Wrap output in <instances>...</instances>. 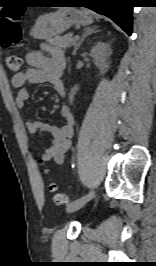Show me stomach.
Listing matches in <instances>:
<instances>
[{
    "label": "stomach",
    "mask_w": 156,
    "mask_h": 266,
    "mask_svg": "<svg viewBox=\"0 0 156 266\" xmlns=\"http://www.w3.org/2000/svg\"><path fill=\"white\" fill-rule=\"evenodd\" d=\"M93 23L91 13L85 9L63 7L54 13L38 17L31 35L39 40H47L58 36L72 25H89Z\"/></svg>",
    "instance_id": "obj_1"
}]
</instances>
